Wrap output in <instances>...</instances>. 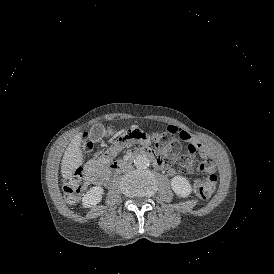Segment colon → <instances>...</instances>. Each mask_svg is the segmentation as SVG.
<instances>
[{
    "label": "colon",
    "mask_w": 274,
    "mask_h": 274,
    "mask_svg": "<svg viewBox=\"0 0 274 274\" xmlns=\"http://www.w3.org/2000/svg\"><path fill=\"white\" fill-rule=\"evenodd\" d=\"M109 133H115L116 141L121 144L125 141L127 144H138L139 140H146L148 136L146 131L136 130L127 131L125 133L126 135L114 131H110ZM78 138L80 142H87L89 137L87 133H80ZM183 143L185 144V142L178 139L173 132H170L167 129L154 136V145L158 156L165 158L169 166L172 165L173 160L179 155L181 149L184 147ZM80 177L81 169L76 168L72 172L71 177L66 180L64 184V198L66 203L70 205L77 202V195L81 191V185L79 184ZM192 187L194 193L201 199H207L214 191L212 184L205 182L202 179L196 180Z\"/></svg>",
    "instance_id": "colon-1"
}]
</instances>
